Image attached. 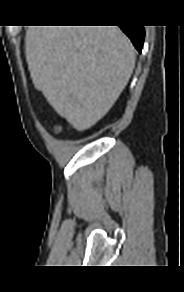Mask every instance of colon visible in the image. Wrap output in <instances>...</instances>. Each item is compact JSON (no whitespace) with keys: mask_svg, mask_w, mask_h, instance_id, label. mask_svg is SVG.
Masks as SVG:
<instances>
[{"mask_svg":"<svg viewBox=\"0 0 184 292\" xmlns=\"http://www.w3.org/2000/svg\"><path fill=\"white\" fill-rule=\"evenodd\" d=\"M60 130H61V127H60V126H56V127H55V131H56V132H59Z\"/></svg>","mask_w":184,"mask_h":292,"instance_id":"5ec220e1","label":"colon"}]
</instances>
